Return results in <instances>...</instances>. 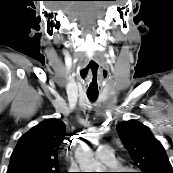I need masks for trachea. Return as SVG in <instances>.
Instances as JSON below:
<instances>
[{
    "mask_svg": "<svg viewBox=\"0 0 173 173\" xmlns=\"http://www.w3.org/2000/svg\"><path fill=\"white\" fill-rule=\"evenodd\" d=\"M87 96L91 102H94L97 99L98 94L87 93Z\"/></svg>",
    "mask_w": 173,
    "mask_h": 173,
    "instance_id": "3493384b",
    "label": "trachea"
}]
</instances>
